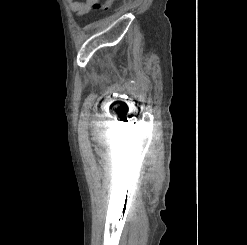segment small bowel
<instances>
[{
  "label": "small bowel",
  "mask_w": 247,
  "mask_h": 245,
  "mask_svg": "<svg viewBox=\"0 0 247 245\" xmlns=\"http://www.w3.org/2000/svg\"><path fill=\"white\" fill-rule=\"evenodd\" d=\"M96 0H67L69 8L78 16H82L90 11Z\"/></svg>",
  "instance_id": "c3829d8e"
}]
</instances>
